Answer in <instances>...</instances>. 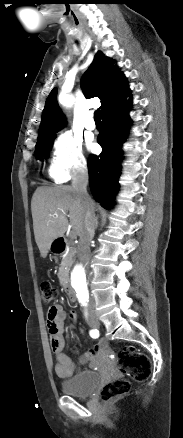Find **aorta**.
Listing matches in <instances>:
<instances>
[{"label": "aorta", "instance_id": "aorta-1", "mask_svg": "<svg viewBox=\"0 0 183 438\" xmlns=\"http://www.w3.org/2000/svg\"><path fill=\"white\" fill-rule=\"evenodd\" d=\"M73 103V97L69 96L64 104L70 106ZM84 266V265H83ZM77 265L73 269L70 277V286L75 291L79 302L84 303L89 297V280L86 276L84 267Z\"/></svg>", "mask_w": 183, "mask_h": 438}]
</instances>
